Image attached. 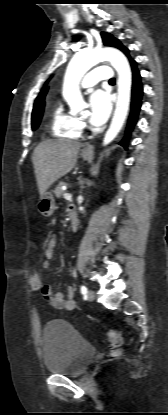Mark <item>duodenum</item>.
<instances>
[{
	"mask_svg": "<svg viewBox=\"0 0 168 415\" xmlns=\"http://www.w3.org/2000/svg\"><path fill=\"white\" fill-rule=\"evenodd\" d=\"M69 220H70V231L75 232L79 225V218L77 210L74 206H70L68 209Z\"/></svg>",
	"mask_w": 168,
	"mask_h": 415,
	"instance_id": "1",
	"label": "duodenum"
}]
</instances>
